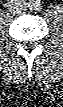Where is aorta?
I'll list each match as a JSON object with an SVG mask.
<instances>
[{
    "mask_svg": "<svg viewBox=\"0 0 63 107\" xmlns=\"http://www.w3.org/2000/svg\"><path fill=\"white\" fill-rule=\"evenodd\" d=\"M31 3H35V4H37V5H38V3H39V2L35 1V2H31ZM31 5H32V4H31ZM37 5H36V6H37Z\"/></svg>",
    "mask_w": 63,
    "mask_h": 107,
    "instance_id": "obj_1",
    "label": "aorta"
}]
</instances>
